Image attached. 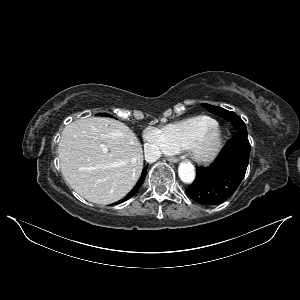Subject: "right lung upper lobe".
Instances as JSON below:
<instances>
[{
	"label": "right lung upper lobe",
	"instance_id": "obj_1",
	"mask_svg": "<svg viewBox=\"0 0 300 300\" xmlns=\"http://www.w3.org/2000/svg\"><path fill=\"white\" fill-rule=\"evenodd\" d=\"M140 185L139 184H136V186L134 187V192H133V195L138 191Z\"/></svg>",
	"mask_w": 300,
	"mask_h": 300
}]
</instances>
